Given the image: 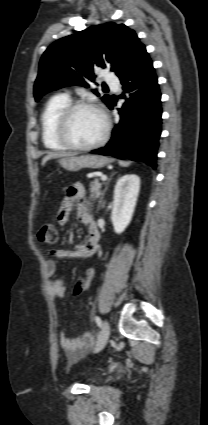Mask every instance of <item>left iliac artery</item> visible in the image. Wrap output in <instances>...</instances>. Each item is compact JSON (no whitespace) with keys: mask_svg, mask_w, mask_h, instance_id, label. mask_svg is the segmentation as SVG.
<instances>
[{"mask_svg":"<svg viewBox=\"0 0 208 425\" xmlns=\"http://www.w3.org/2000/svg\"><path fill=\"white\" fill-rule=\"evenodd\" d=\"M95 321H96V323H97V325H98L99 327H101V326H102V321H101L100 317L95 316Z\"/></svg>","mask_w":208,"mask_h":425,"instance_id":"left-iliac-artery-1","label":"left iliac artery"}]
</instances>
